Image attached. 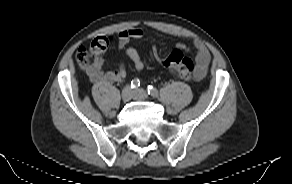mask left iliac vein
Here are the masks:
<instances>
[{"label":"left iliac vein","mask_w":292,"mask_h":184,"mask_svg":"<svg viewBox=\"0 0 292 184\" xmlns=\"http://www.w3.org/2000/svg\"><path fill=\"white\" fill-rule=\"evenodd\" d=\"M133 98L136 100H146L148 98V93L144 89H135L133 91Z\"/></svg>","instance_id":"4c4485c4"}]
</instances>
